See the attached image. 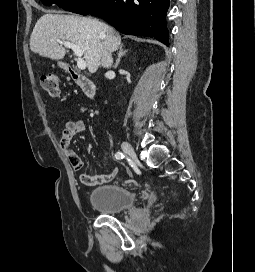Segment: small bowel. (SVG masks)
<instances>
[{"instance_id":"1","label":"small bowel","mask_w":255,"mask_h":272,"mask_svg":"<svg viewBox=\"0 0 255 272\" xmlns=\"http://www.w3.org/2000/svg\"><path fill=\"white\" fill-rule=\"evenodd\" d=\"M85 128L86 122L84 119L66 120L64 130L62 131L60 137V148L75 170H80L83 166V162L71 148L70 142L76 135L84 131ZM117 174L118 168L112 167L106 174L89 175L87 173H82L80 175V181L87 186H98L112 181Z\"/></svg>"}]
</instances>
